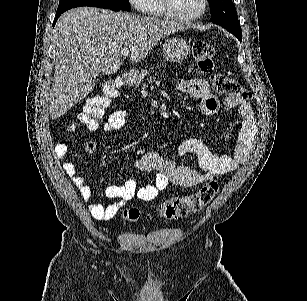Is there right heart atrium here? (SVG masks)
I'll use <instances>...</instances> for the list:
<instances>
[{
  "label": "right heart atrium",
  "instance_id": "d8ad5b80",
  "mask_svg": "<svg viewBox=\"0 0 307 301\" xmlns=\"http://www.w3.org/2000/svg\"><path fill=\"white\" fill-rule=\"evenodd\" d=\"M131 4H134L136 11H151L152 9L149 0H131Z\"/></svg>",
  "mask_w": 307,
  "mask_h": 301
}]
</instances>
